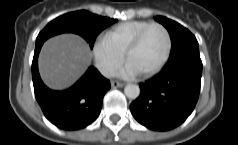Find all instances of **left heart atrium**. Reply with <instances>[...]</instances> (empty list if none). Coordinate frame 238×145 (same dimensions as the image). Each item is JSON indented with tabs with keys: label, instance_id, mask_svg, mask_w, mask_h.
Wrapping results in <instances>:
<instances>
[{
	"label": "left heart atrium",
	"instance_id": "1",
	"mask_svg": "<svg viewBox=\"0 0 238 145\" xmlns=\"http://www.w3.org/2000/svg\"><path fill=\"white\" fill-rule=\"evenodd\" d=\"M140 73L138 70L130 63L126 62L119 71V75L123 78H134Z\"/></svg>",
	"mask_w": 238,
	"mask_h": 145
}]
</instances>
